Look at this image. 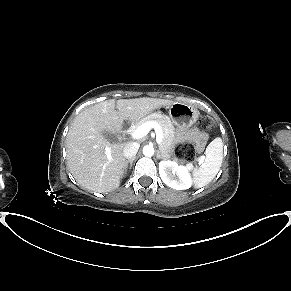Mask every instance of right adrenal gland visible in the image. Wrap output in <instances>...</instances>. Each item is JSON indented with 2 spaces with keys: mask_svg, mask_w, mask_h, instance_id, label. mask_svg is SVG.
I'll return each mask as SVG.
<instances>
[{
  "mask_svg": "<svg viewBox=\"0 0 291 291\" xmlns=\"http://www.w3.org/2000/svg\"><path fill=\"white\" fill-rule=\"evenodd\" d=\"M134 160H135V158H131V159L127 160L126 165H128V163H130V168H131Z\"/></svg>",
  "mask_w": 291,
  "mask_h": 291,
  "instance_id": "obj_1",
  "label": "right adrenal gland"
}]
</instances>
